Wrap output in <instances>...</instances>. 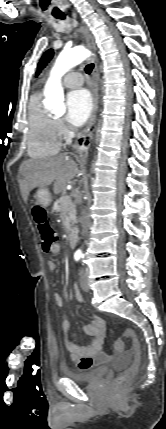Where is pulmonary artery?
Instances as JSON below:
<instances>
[{"mask_svg":"<svg viewBox=\"0 0 166 429\" xmlns=\"http://www.w3.org/2000/svg\"><path fill=\"white\" fill-rule=\"evenodd\" d=\"M64 85L70 88L80 86L83 83V75L80 72H69L63 79Z\"/></svg>","mask_w":166,"mask_h":429,"instance_id":"e3ab8cb5","label":"pulmonary artery"}]
</instances>
